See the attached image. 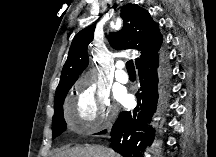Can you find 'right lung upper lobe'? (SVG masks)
Listing matches in <instances>:
<instances>
[{"label":"right lung upper lobe","instance_id":"obj_1","mask_svg":"<svg viewBox=\"0 0 216 157\" xmlns=\"http://www.w3.org/2000/svg\"><path fill=\"white\" fill-rule=\"evenodd\" d=\"M123 27L109 34V42L115 49H137L141 56L136 58V67L154 59L162 44L158 25L144 8L127 4L121 9ZM95 24L81 30L74 37L68 58L63 66L55 98L66 88L72 87L78 76L88 65L87 45L94 36Z\"/></svg>","mask_w":216,"mask_h":157}]
</instances>
